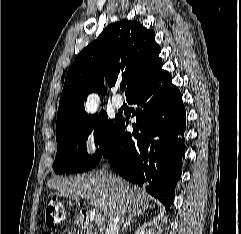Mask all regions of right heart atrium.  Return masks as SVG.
Masks as SVG:
<instances>
[{
  "label": "right heart atrium",
  "mask_w": 241,
  "mask_h": 234,
  "mask_svg": "<svg viewBox=\"0 0 241 234\" xmlns=\"http://www.w3.org/2000/svg\"><path fill=\"white\" fill-rule=\"evenodd\" d=\"M82 142L88 155L91 157L101 155L105 148V135L102 128L98 125L88 127L83 132Z\"/></svg>",
  "instance_id": "d8ad5b80"
}]
</instances>
